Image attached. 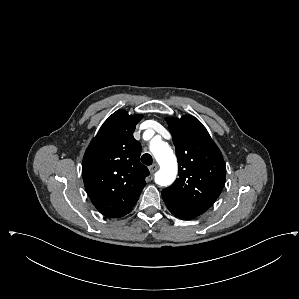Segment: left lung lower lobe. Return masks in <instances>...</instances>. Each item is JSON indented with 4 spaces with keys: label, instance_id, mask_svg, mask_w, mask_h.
Returning a JSON list of instances; mask_svg holds the SVG:
<instances>
[{
    "label": "left lung lower lobe",
    "instance_id": "0a47b994",
    "mask_svg": "<svg viewBox=\"0 0 299 299\" xmlns=\"http://www.w3.org/2000/svg\"><path fill=\"white\" fill-rule=\"evenodd\" d=\"M162 197L169 211L180 219L190 220L200 215L199 213L180 205L167 195L162 194Z\"/></svg>",
    "mask_w": 299,
    "mask_h": 299
}]
</instances>
